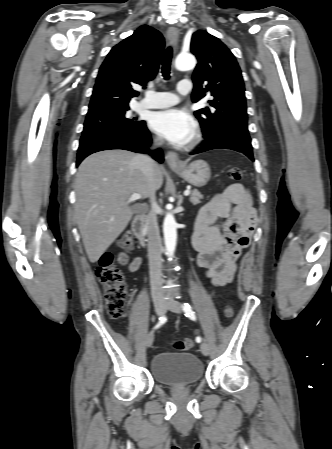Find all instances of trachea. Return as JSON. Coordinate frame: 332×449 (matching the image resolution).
Listing matches in <instances>:
<instances>
[{
	"mask_svg": "<svg viewBox=\"0 0 332 449\" xmlns=\"http://www.w3.org/2000/svg\"><path fill=\"white\" fill-rule=\"evenodd\" d=\"M171 60H172V48L168 47L165 51L162 62V75L165 80H168L170 78Z\"/></svg>",
	"mask_w": 332,
	"mask_h": 449,
	"instance_id": "1",
	"label": "trachea"
}]
</instances>
